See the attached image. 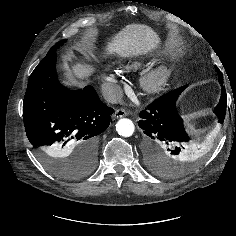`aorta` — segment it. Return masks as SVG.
I'll list each match as a JSON object with an SVG mask.
<instances>
[{"label":"aorta","instance_id":"obj_1","mask_svg":"<svg viewBox=\"0 0 236 236\" xmlns=\"http://www.w3.org/2000/svg\"><path fill=\"white\" fill-rule=\"evenodd\" d=\"M135 130L134 124L130 119H120L116 124V131L120 136L130 137L133 135Z\"/></svg>","mask_w":236,"mask_h":236}]
</instances>
